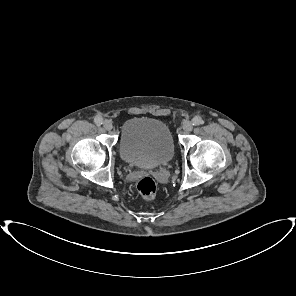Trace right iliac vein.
I'll use <instances>...</instances> for the list:
<instances>
[{
    "label": "right iliac vein",
    "instance_id": "63e3f726",
    "mask_svg": "<svg viewBox=\"0 0 296 296\" xmlns=\"http://www.w3.org/2000/svg\"><path fill=\"white\" fill-rule=\"evenodd\" d=\"M103 127L106 129V130H111L112 129V123L110 120H105L103 122Z\"/></svg>",
    "mask_w": 296,
    "mask_h": 296
}]
</instances>
